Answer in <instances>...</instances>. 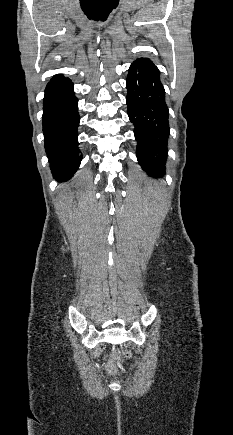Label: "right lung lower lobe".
<instances>
[{"label":"right lung lower lobe","mask_w":233,"mask_h":435,"mask_svg":"<svg viewBox=\"0 0 233 435\" xmlns=\"http://www.w3.org/2000/svg\"><path fill=\"white\" fill-rule=\"evenodd\" d=\"M79 120L72 81L59 75L52 78L43 100V133L50 168L57 181L70 179L79 168Z\"/></svg>","instance_id":"right-lung-lower-lobe-1"}]
</instances>
